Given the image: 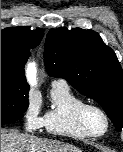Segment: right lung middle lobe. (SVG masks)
Listing matches in <instances>:
<instances>
[{
    "instance_id": "right-lung-middle-lobe-1",
    "label": "right lung middle lobe",
    "mask_w": 123,
    "mask_h": 152,
    "mask_svg": "<svg viewBox=\"0 0 123 152\" xmlns=\"http://www.w3.org/2000/svg\"><path fill=\"white\" fill-rule=\"evenodd\" d=\"M29 87L11 75L1 74V125L23 117L29 105Z\"/></svg>"
}]
</instances>
